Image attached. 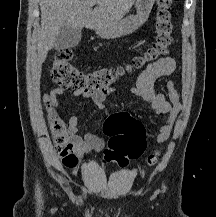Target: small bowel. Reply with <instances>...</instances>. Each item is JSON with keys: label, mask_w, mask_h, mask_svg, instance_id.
Listing matches in <instances>:
<instances>
[{"label": "small bowel", "mask_w": 216, "mask_h": 217, "mask_svg": "<svg viewBox=\"0 0 216 217\" xmlns=\"http://www.w3.org/2000/svg\"><path fill=\"white\" fill-rule=\"evenodd\" d=\"M176 61L170 56L148 64L137 76L135 87L130 92L150 104L156 115H165L166 119L156 133L148 134L151 140L158 143L166 141L174 127L177 116L182 108L180 95L175 88L172 80L166 84L168 94L156 91L155 82L159 78L172 75L176 70ZM115 92L114 88L107 87L97 90H74L72 97H84L90 99L92 103L100 109L106 107L105 102L109 95ZM64 94V88L56 87L45 96V103L48 111H54L60 106V98ZM79 118L71 116L68 120L66 133L70 148L75 156L79 159L86 158L92 152H100L105 146V142L95 131H90L84 136L78 133Z\"/></svg>", "instance_id": "obj_1"}]
</instances>
